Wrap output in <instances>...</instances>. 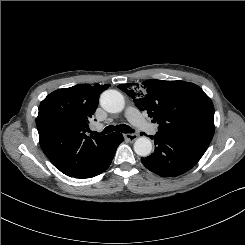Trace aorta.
Returning <instances> with one entry per match:
<instances>
[{
	"label": "aorta",
	"mask_w": 245,
	"mask_h": 245,
	"mask_svg": "<svg viewBox=\"0 0 245 245\" xmlns=\"http://www.w3.org/2000/svg\"><path fill=\"white\" fill-rule=\"evenodd\" d=\"M100 104L109 113H119L124 109L125 100L117 90H106L101 94ZM134 151L137 155L146 157L152 151V143L147 137H139L134 143Z\"/></svg>",
	"instance_id": "762f6f07"
}]
</instances>
